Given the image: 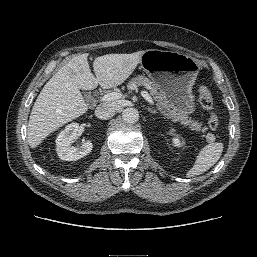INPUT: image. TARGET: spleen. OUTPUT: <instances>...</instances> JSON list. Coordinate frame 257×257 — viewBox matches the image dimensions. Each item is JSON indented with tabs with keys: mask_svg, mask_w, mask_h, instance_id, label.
<instances>
[{
	"mask_svg": "<svg viewBox=\"0 0 257 257\" xmlns=\"http://www.w3.org/2000/svg\"><path fill=\"white\" fill-rule=\"evenodd\" d=\"M223 148V143L221 142L211 143L202 148L196 157L193 167L187 172L186 176L189 178L206 172L219 160Z\"/></svg>",
	"mask_w": 257,
	"mask_h": 257,
	"instance_id": "spleen-1",
	"label": "spleen"
}]
</instances>
